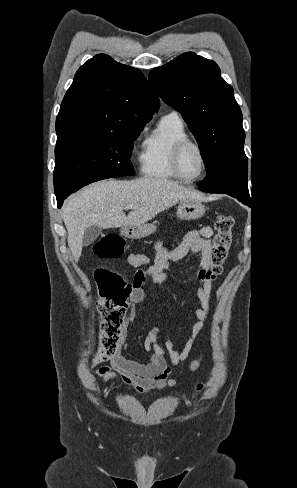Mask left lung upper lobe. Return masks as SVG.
Wrapping results in <instances>:
<instances>
[{
    "mask_svg": "<svg viewBox=\"0 0 297 488\" xmlns=\"http://www.w3.org/2000/svg\"><path fill=\"white\" fill-rule=\"evenodd\" d=\"M149 81L182 114L199 144L207 172L199 189L249 199L242 112L218 65L187 52L154 68Z\"/></svg>",
    "mask_w": 297,
    "mask_h": 488,
    "instance_id": "obj_1",
    "label": "left lung upper lobe"
}]
</instances>
